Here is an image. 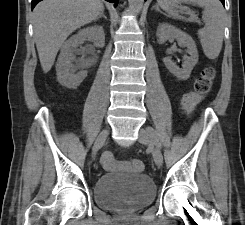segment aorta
I'll list each match as a JSON object with an SVG mask.
<instances>
[{
  "label": "aorta",
  "instance_id": "1",
  "mask_svg": "<svg viewBox=\"0 0 245 225\" xmlns=\"http://www.w3.org/2000/svg\"><path fill=\"white\" fill-rule=\"evenodd\" d=\"M129 7L135 13H139L143 7L144 0H128Z\"/></svg>",
  "mask_w": 245,
  "mask_h": 225
}]
</instances>
